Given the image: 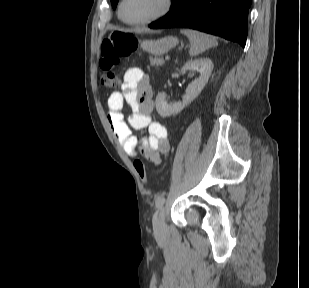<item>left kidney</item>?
Masks as SVG:
<instances>
[{
	"instance_id": "1",
	"label": "left kidney",
	"mask_w": 309,
	"mask_h": 288,
	"mask_svg": "<svg viewBox=\"0 0 309 288\" xmlns=\"http://www.w3.org/2000/svg\"><path fill=\"white\" fill-rule=\"evenodd\" d=\"M196 69H199L200 76L188 85L182 102L168 104L166 101V94L164 92L157 94L155 101L156 110L162 117H167L181 112L200 94L208 82L210 74L213 70V63L209 58L190 60L184 64L181 71L182 73H185L186 71H193Z\"/></svg>"
}]
</instances>
